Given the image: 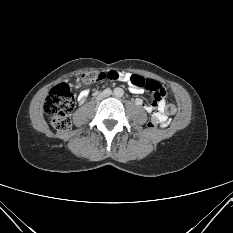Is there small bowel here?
Listing matches in <instances>:
<instances>
[{
    "mask_svg": "<svg viewBox=\"0 0 233 233\" xmlns=\"http://www.w3.org/2000/svg\"><path fill=\"white\" fill-rule=\"evenodd\" d=\"M132 74L130 73H124V72H116V71H106L103 73H99V78L101 80H106L108 78H111L112 80H119L123 82H127L129 84V89L134 94H141L143 92V89L136 88L130 83V78ZM89 92L87 90H82L78 94V102L84 103ZM137 104H142L141 99H137ZM143 108L148 112L152 113V117L157 115L161 120L162 127L166 126L169 122V118L165 113V98L161 99L157 103H151V104H143Z\"/></svg>",
    "mask_w": 233,
    "mask_h": 233,
    "instance_id": "obj_1",
    "label": "small bowel"
}]
</instances>
